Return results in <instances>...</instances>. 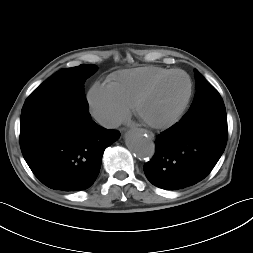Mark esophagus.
<instances>
[{"mask_svg": "<svg viewBox=\"0 0 253 253\" xmlns=\"http://www.w3.org/2000/svg\"><path fill=\"white\" fill-rule=\"evenodd\" d=\"M139 131H141L142 133H147V135L150 137V138H153L154 137V134L148 130H145V129H140Z\"/></svg>", "mask_w": 253, "mask_h": 253, "instance_id": "esophagus-1", "label": "esophagus"}]
</instances>
